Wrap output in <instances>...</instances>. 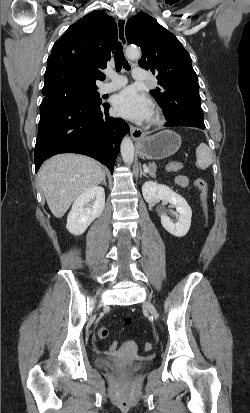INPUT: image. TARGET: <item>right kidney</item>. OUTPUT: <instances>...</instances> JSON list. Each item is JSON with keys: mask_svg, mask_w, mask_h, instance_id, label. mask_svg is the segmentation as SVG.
I'll use <instances>...</instances> for the list:
<instances>
[{"mask_svg": "<svg viewBox=\"0 0 250 413\" xmlns=\"http://www.w3.org/2000/svg\"><path fill=\"white\" fill-rule=\"evenodd\" d=\"M105 207V192L100 186L87 189L74 201L67 217V230L74 235H81L98 218Z\"/></svg>", "mask_w": 250, "mask_h": 413, "instance_id": "ca27d5eb", "label": "right kidney"}]
</instances>
